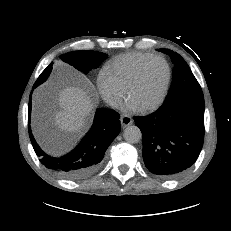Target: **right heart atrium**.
I'll use <instances>...</instances> for the list:
<instances>
[{
    "label": "right heart atrium",
    "instance_id": "right-heart-atrium-1",
    "mask_svg": "<svg viewBox=\"0 0 231 231\" xmlns=\"http://www.w3.org/2000/svg\"><path fill=\"white\" fill-rule=\"evenodd\" d=\"M97 83L105 102L112 107H117L123 100L126 90L104 71L100 72Z\"/></svg>",
    "mask_w": 231,
    "mask_h": 231
}]
</instances>
